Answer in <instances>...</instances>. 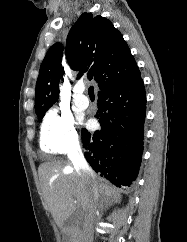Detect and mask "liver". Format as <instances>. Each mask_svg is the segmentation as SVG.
Listing matches in <instances>:
<instances>
[{
    "label": "liver",
    "mask_w": 187,
    "mask_h": 242,
    "mask_svg": "<svg viewBox=\"0 0 187 242\" xmlns=\"http://www.w3.org/2000/svg\"><path fill=\"white\" fill-rule=\"evenodd\" d=\"M42 194L58 227L74 213L77 201L84 211L89 200L90 182L81 178L70 161L53 160L43 163L38 169ZM99 193L106 199L120 198L116 189L104 183L94 173Z\"/></svg>",
    "instance_id": "liver-1"
}]
</instances>
